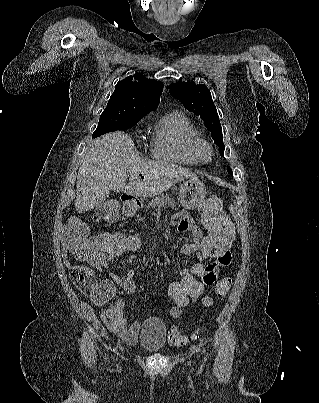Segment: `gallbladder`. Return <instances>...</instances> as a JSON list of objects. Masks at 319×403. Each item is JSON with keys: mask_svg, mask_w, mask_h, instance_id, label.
<instances>
[{"mask_svg": "<svg viewBox=\"0 0 319 403\" xmlns=\"http://www.w3.org/2000/svg\"><path fill=\"white\" fill-rule=\"evenodd\" d=\"M104 208H107L109 211L117 212L119 210V204L115 200H110L103 204Z\"/></svg>", "mask_w": 319, "mask_h": 403, "instance_id": "bac80fb5", "label": "gallbladder"}]
</instances>
